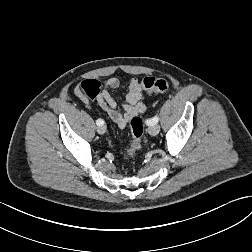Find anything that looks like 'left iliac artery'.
I'll use <instances>...</instances> for the list:
<instances>
[{
    "label": "left iliac artery",
    "instance_id": "1",
    "mask_svg": "<svg viewBox=\"0 0 252 252\" xmlns=\"http://www.w3.org/2000/svg\"><path fill=\"white\" fill-rule=\"evenodd\" d=\"M158 121H159V117L156 115V116H154L153 118L148 119V120L146 121V123H147V125L151 126V125L157 124Z\"/></svg>",
    "mask_w": 252,
    "mask_h": 252
}]
</instances>
